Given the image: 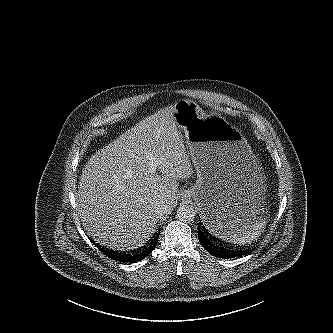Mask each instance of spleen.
Masks as SVG:
<instances>
[{
	"mask_svg": "<svg viewBox=\"0 0 333 333\" xmlns=\"http://www.w3.org/2000/svg\"><path fill=\"white\" fill-rule=\"evenodd\" d=\"M266 226L265 220L260 219L255 224L241 228L240 230L232 231L228 233L225 237L228 242L235 245H245L250 244L256 238H258L262 232V229Z\"/></svg>",
	"mask_w": 333,
	"mask_h": 333,
	"instance_id": "1",
	"label": "spleen"
}]
</instances>
